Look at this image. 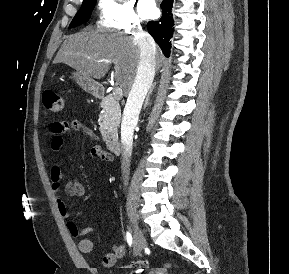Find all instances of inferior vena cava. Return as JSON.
<instances>
[{"label": "inferior vena cava", "instance_id": "obj_1", "mask_svg": "<svg viewBox=\"0 0 289 274\" xmlns=\"http://www.w3.org/2000/svg\"><path fill=\"white\" fill-rule=\"evenodd\" d=\"M140 59L134 83L129 92L121 123L122 172L124 185H128L130 158L133 148V132L139 118L142 104L150 89L155 75L156 46L153 39L138 25L134 31Z\"/></svg>", "mask_w": 289, "mask_h": 274}]
</instances>
